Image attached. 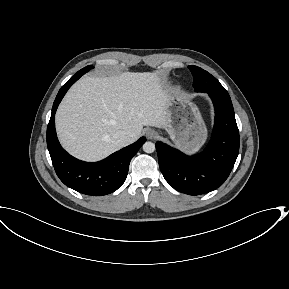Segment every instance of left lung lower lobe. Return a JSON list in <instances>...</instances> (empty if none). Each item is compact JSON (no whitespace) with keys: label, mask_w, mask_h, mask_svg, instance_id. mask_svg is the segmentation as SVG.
I'll return each instance as SVG.
<instances>
[{"label":"left lung lower lobe","mask_w":289,"mask_h":289,"mask_svg":"<svg viewBox=\"0 0 289 289\" xmlns=\"http://www.w3.org/2000/svg\"><path fill=\"white\" fill-rule=\"evenodd\" d=\"M208 94L215 108V124L202 153L187 156L162 142L156 143L164 178L174 189L189 195L208 193L221 186L239 152V131L230 96Z\"/></svg>","instance_id":"1"}]
</instances>
